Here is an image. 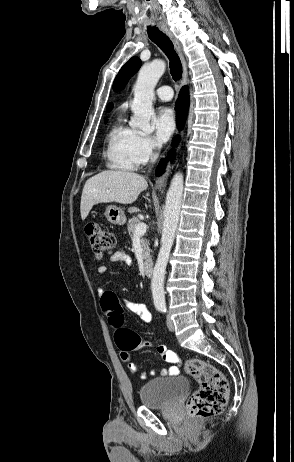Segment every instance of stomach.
<instances>
[{
    "label": "stomach",
    "instance_id": "1",
    "mask_svg": "<svg viewBox=\"0 0 294 462\" xmlns=\"http://www.w3.org/2000/svg\"><path fill=\"white\" fill-rule=\"evenodd\" d=\"M105 216L114 225H122L126 221L124 211L115 205L107 206Z\"/></svg>",
    "mask_w": 294,
    "mask_h": 462
}]
</instances>
